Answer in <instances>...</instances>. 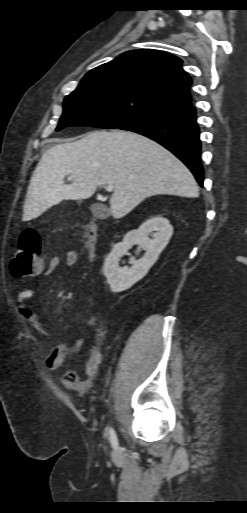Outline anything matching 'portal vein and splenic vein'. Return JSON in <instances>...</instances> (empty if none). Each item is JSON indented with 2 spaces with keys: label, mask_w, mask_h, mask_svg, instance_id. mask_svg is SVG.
<instances>
[{
  "label": "portal vein and splenic vein",
  "mask_w": 247,
  "mask_h": 513,
  "mask_svg": "<svg viewBox=\"0 0 247 513\" xmlns=\"http://www.w3.org/2000/svg\"><path fill=\"white\" fill-rule=\"evenodd\" d=\"M72 177H74V176H73V175H71V178H72ZM105 189H106L108 192H110V191H112V190L114 189V186L110 184V185H107V186L105 187Z\"/></svg>",
  "instance_id": "portal-vein-and-splenic-vein-1"
}]
</instances>
